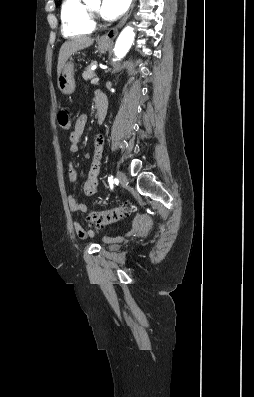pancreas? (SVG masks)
I'll return each mask as SVG.
<instances>
[{
	"label": "pancreas",
	"instance_id": "pancreas-1",
	"mask_svg": "<svg viewBox=\"0 0 254 397\" xmlns=\"http://www.w3.org/2000/svg\"><path fill=\"white\" fill-rule=\"evenodd\" d=\"M93 65L94 63L86 67L85 71L82 74L84 80H90L96 75L95 72L91 69Z\"/></svg>",
	"mask_w": 254,
	"mask_h": 397
}]
</instances>
